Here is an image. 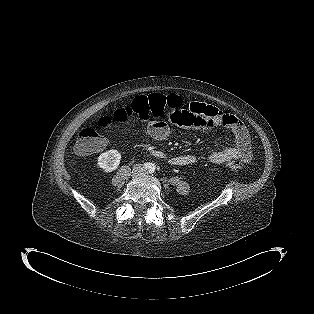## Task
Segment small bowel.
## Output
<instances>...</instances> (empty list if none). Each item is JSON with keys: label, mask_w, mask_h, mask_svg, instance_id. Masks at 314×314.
<instances>
[{"label": "small bowel", "mask_w": 314, "mask_h": 314, "mask_svg": "<svg viewBox=\"0 0 314 314\" xmlns=\"http://www.w3.org/2000/svg\"><path fill=\"white\" fill-rule=\"evenodd\" d=\"M164 119L176 128H191L198 131H209L216 128H225L234 136L233 146H224L219 150L210 152L207 160L213 164H222L230 159H237L248 163L252 156L251 140L244 124L234 115L228 114L219 108L205 103L193 102L186 105H169L164 110ZM169 134L168 125L161 120L152 122L146 128V135L155 140H163ZM106 142L104 140L105 147ZM102 148V149H103ZM193 154L174 156L171 164L175 166H188L196 162Z\"/></svg>", "instance_id": "1"}]
</instances>
